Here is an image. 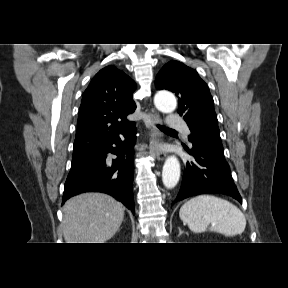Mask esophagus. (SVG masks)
Here are the masks:
<instances>
[{
	"instance_id": "34e87169",
	"label": "esophagus",
	"mask_w": 288,
	"mask_h": 288,
	"mask_svg": "<svg viewBox=\"0 0 288 288\" xmlns=\"http://www.w3.org/2000/svg\"><path fill=\"white\" fill-rule=\"evenodd\" d=\"M146 123L150 125L152 128V136L154 139L153 147H154L155 157L158 160H164L166 158V152L162 151L157 145L162 140V134L157 128V125L161 123V120L159 116H157L156 114L149 113Z\"/></svg>"
}]
</instances>
